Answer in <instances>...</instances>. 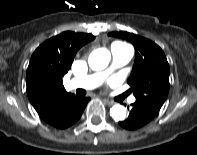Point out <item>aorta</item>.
<instances>
[{"label": "aorta", "mask_w": 197, "mask_h": 155, "mask_svg": "<svg viewBox=\"0 0 197 155\" xmlns=\"http://www.w3.org/2000/svg\"><path fill=\"white\" fill-rule=\"evenodd\" d=\"M111 58L110 52L105 48L94 50L88 59V63L93 70H102L107 67ZM110 115L115 121H122L126 117V108L120 104L112 106Z\"/></svg>", "instance_id": "obj_1"}]
</instances>
